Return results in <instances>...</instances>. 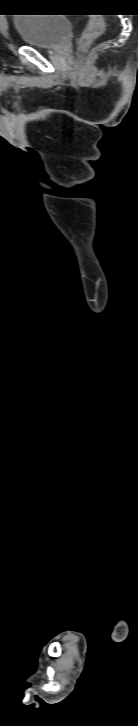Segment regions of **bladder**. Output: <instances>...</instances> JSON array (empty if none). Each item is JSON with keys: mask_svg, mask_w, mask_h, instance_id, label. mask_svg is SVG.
I'll return each mask as SVG.
<instances>
[{"mask_svg": "<svg viewBox=\"0 0 138 726\" xmlns=\"http://www.w3.org/2000/svg\"><path fill=\"white\" fill-rule=\"evenodd\" d=\"M13 25L26 45L45 49L62 44L71 29L70 19L63 14H22Z\"/></svg>", "mask_w": 138, "mask_h": 726, "instance_id": "31cf9c89", "label": "bladder"}]
</instances>
